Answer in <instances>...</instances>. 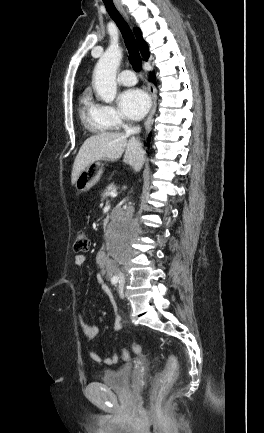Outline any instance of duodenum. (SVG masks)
Wrapping results in <instances>:
<instances>
[{
  "label": "duodenum",
  "mask_w": 264,
  "mask_h": 433,
  "mask_svg": "<svg viewBox=\"0 0 264 433\" xmlns=\"http://www.w3.org/2000/svg\"><path fill=\"white\" fill-rule=\"evenodd\" d=\"M108 224H109V219H108V218H105V219L103 220V225H104V229H105V231H107ZM109 255H110V257H112V258L115 257V253H114L113 251H111ZM112 272H113V266H109L108 269H107V275H108V276H111Z\"/></svg>",
  "instance_id": "410a0bca"
}]
</instances>
